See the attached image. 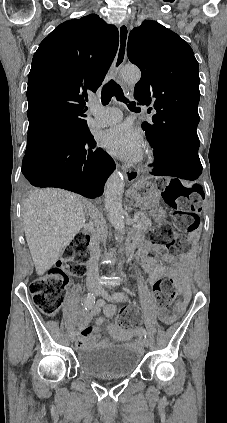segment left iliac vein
<instances>
[{
    "label": "left iliac vein",
    "instance_id": "obj_1",
    "mask_svg": "<svg viewBox=\"0 0 227 423\" xmlns=\"http://www.w3.org/2000/svg\"><path fill=\"white\" fill-rule=\"evenodd\" d=\"M99 295L101 296V297H103L104 299H106V300H108V301H113V298L110 296V294L107 292V291H105L104 289H99ZM144 345L146 346V347H148L149 345H150V342H149V340L147 339V338H145L144 339Z\"/></svg>",
    "mask_w": 227,
    "mask_h": 423
}]
</instances>
